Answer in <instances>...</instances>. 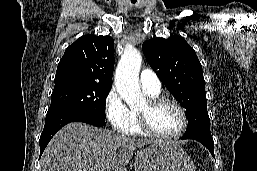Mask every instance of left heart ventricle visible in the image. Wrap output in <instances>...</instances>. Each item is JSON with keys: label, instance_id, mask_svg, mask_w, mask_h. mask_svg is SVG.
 Returning a JSON list of instances; mask_svg holds the SVG:
<instances>
[{"label": "left heart ventricle", "instance_id": "b2bd125f", "mask_svg": "<svg viewBox=\"0 0 257 171\" xmlns=\"http://www.w3.org/2000/svg\"><path fill=\"white\" fill-rule=\"evenodd\" d=\"M139 111L148 112L152 128L159 133L172 134L181 127V115L170 103H164L150 109L146 102Z\"/></svg>", "mask_w": 257, "mask_h": 171}]
</instances>
